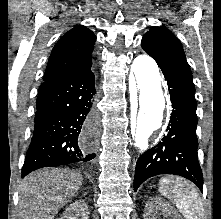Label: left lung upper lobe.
I'll use <instances>...</instances> for the list:
<instances>
[{
    "label": "left lung upper lobe",
    "mask_w": 221,
    "mask_h": 219,
    "mask_svg": "<svg viewBox=\"0 0 221 219\" xmlns=\"http://www.w3.org/2000/svg\"><path fill=\"white\" fill-rule=\"evenodd\" d=\"M141 46L157 62L173 66L192 78L180 41L166 27H152L143 36Z\"/></svg>",
    "instance_id": "obj_1"
}]
</instances>
